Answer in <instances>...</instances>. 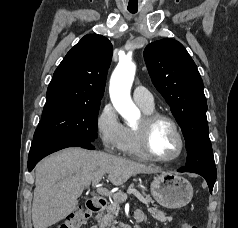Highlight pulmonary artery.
Here are the masks:
<instances>
[{
    "instance_id": "1",
    "label": "pulmonary artery",
    "mask_w": 238,
    "mask_h": 228,
    "mask_svg": "<svg viewBox=\"0 0 238 228\" xmlns=\"http://www.w3.org/2000/svg\"><path fill=\"white\" fill-rule=\"evenodd\" d=\"M133 99L134 101L143 108H153L154 99L150 91L144 86H136L133 89Z\"/></svg>"
}]
</instances>
